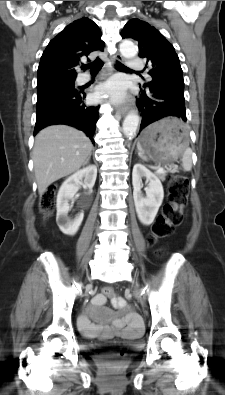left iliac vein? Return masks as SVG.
I'll return each instance as SVG.
<instances>
[{"instance_id":"obj_1","label":"left iliac vein","mask_w":225,"mask_h":395,"mask_svg":"<svg viewBox=\"0 0 225 395\" xmlns=\"http://www.w3.org/2000/svg\"><path fill=\"white\" fill-rule=\"evenodd\" d=\"M134 292H135V295L137 296V298L143 303L144 298L142 297L140 291L138 289H136Z\"/></svg>"}]
</instances>
